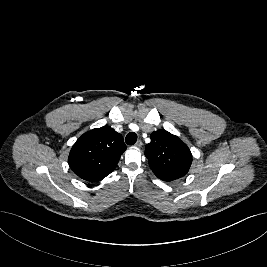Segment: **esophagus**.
Listing matches in <instances>:
<instances>
[{
	"mask_svg": "<svg viewBox=\"0 0 267 267\" xmlns=\"http://www.w3.org/2000/svg\"><path fill=\"white\" fill-rule=\"evenodd\" d=\"M143 145V142L141 140H138L136 143H135V146L140 148L141 146Z\"/></svg>",
	"mask_w": 267,
	"mask_h": 267,
	"instance_id": "1",
	"label": "esophagus"
}]
</instances>
